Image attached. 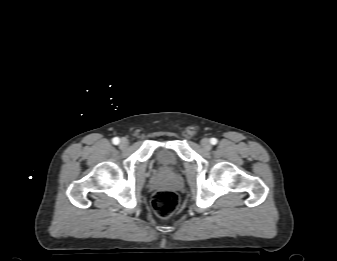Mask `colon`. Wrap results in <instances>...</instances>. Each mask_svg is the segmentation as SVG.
I'll return each mask as SVG.
<instances>
[{
	"instance_id": "5ec220e1",
	"label": "colon",
	"mask_w": 337,
	"mask_h": 261,
	"mask_svg": "<svg viewBox=\"0 0 337 261\" xmlns=\"http://www.w3.org/2000/svg\"><path fill=\"white\" fill-rule=\"evenodd\" d=\"M179 206V196L171 190L157 191L152 197V208L157 216L167 218L171 216Z\"/></svg>"
}]
</instances>
